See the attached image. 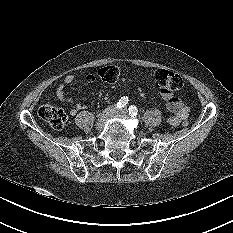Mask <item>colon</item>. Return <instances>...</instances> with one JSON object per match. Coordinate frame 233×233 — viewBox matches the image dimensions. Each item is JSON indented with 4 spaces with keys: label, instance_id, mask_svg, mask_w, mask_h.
Instances as JSON below:
<instances>
[{
    "label": "colon",
    "instance_id": "1",
    "mask_svg": "<svg viewBox=\"0 0 233 233\" xmlns=\"http://www.w3.org/2000/svg\"><path fill=\"white\" fill-rule=\"evenodd\" d=\"M121 73L122 70L119 66L107 65L100 68L96 74L88 76V80H101L107 83H114L118 80ZM153 84L161 91L174 92L182 88L183 79L180 75L174 72L158 69L154 72ZM38 115L52 128L57 130L62 129L67 121L65 111L62 108L51 104H43L38 110ZM183 125H187V121H184Z\"/></svg>",
    "mask_w": 233,
    "mask_h": 233
}]
</instances>
